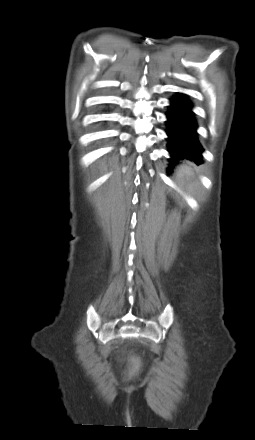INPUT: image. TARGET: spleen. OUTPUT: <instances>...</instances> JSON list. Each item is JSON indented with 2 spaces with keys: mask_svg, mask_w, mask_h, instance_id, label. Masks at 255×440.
<instances>
[{
  "mask_svg": "<svg viewBox=\"0 0 255 440\" xmlns=\"http://www.w3.org/2000/svg\"><path fill=\"white\" fill-rule=\"evenodd\" d=\"M192 174V169L190 168V166L187 165H183L179 168L178 172H177V176L178 177H183L185 175H191Z\"/></svg>",
  "mask_w": 255,
  "mask_h": 440,
  "instance_id": "spleen-1",
  "label": "spleen"
}]
</instances>
